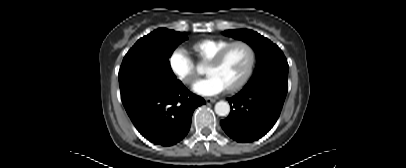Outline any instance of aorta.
<instances>
[{"instance_id":"762f6f07","label":"aorta","mask_w":406,"mask_h":168,"mask_svg":"<svg viewBox=\"0 0 406 168\" xmlns=\"http://www.w3.org/2000/svg\"><path fill=\"white\" fill-rule=\"evenodd\" d=\"M215 113L219 116H227L230 113V105L225 101H219L215 104Z\"/></svg>"}]
</instances>
